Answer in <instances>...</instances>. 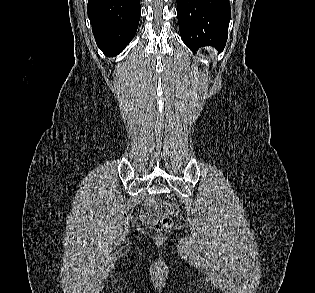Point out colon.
Returning <instances> with one entry per match:
<instances>
[{
  "label": "colon",
  "mask_w": 315,
  "mask_h": 293,
  "mask_svg": "<svg viewBox=\"0 0 315 293\" xmlns=\"http://www.w3.org/2000/svg\"><path fill=\"white\" fill-rule=\"evenodd\" d=\"M154 205H155L154 200H150L147 203L148 207H153ZM158 207L160 208V210L168 213H174L176 211V207L172 204L159 203ZM172 225H173L172 219L165 215L160 216L154 220V227L157 230H168L172 227Z\"/></svg>",
  "instance_id": "colon-1"
}]
</instances>
